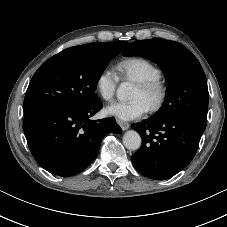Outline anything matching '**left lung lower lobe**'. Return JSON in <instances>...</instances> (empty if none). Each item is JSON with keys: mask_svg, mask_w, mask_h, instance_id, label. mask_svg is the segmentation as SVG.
<instances>
[{"mask_svg": "<svg viewBox=\"0 0 227 227\" xmlns=\"http://www.w3.org/2000/svg\"><path fill=\"white\" fill-rule=\"evenodd\" d=\"M131 127L142 138L140 149L131 157L134 167L143 176L164 180L191 162L206 123L187 116L150 117Z\"/></svg>", "mask_w": 227, "mask_h": 227, "instance_id": "1", "label": "left lung lower lobe"}]
</instances>
